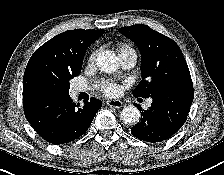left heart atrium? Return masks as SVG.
Listing matches in <instances>:
<instances>
[{
  "mask_svg": "<svg viewBox=\"0 0 224 175\" xmlns=\"http://www.w3.org/2000/svg\"><path fill=\"white\" fill-rule=\"evenodd\" d=\"M100 90L106 95V96H117L121 91V86L114 82H103L100 85Z\"/></svg>",
  "mask_w": 224,
  "mask_h": 175,
  "instance_id": "1",
  "label": "left heart atrium"
}]
</instances>
